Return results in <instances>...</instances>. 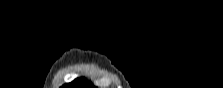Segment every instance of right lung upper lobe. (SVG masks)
<instances>
[{
    "mask_svg": "<svg viewBox=\"0 0 223 88\" xmlns=\"http://www.w3.org/2000/svg\"><path fill=\"white\" fill-rule=\"evenodd\" d=\"M62 88H94V86L87 82L85 78H78L69 84L63 85Z\"/></svg>",
    "mask_w": 223,
    "mask_h": 88,
    "instance_id": "1",
    "label": "right lung upper lobe"
}]
</instances>
